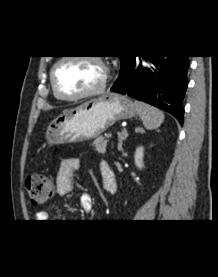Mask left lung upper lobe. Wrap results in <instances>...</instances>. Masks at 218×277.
I'll use <instances>...</instances> for the list:
<instances>
[{"mask_svg": "<svg viewBox=\"0 0 218 277\" xmlns=\"http://www.w3.org/2000/svg\"><path fill=\"white\" fill-rule=\"evenodd\" d=\"M121 59V70L127 65V63L131 60L133 56H119Z\"/></svg>", "mask_w": 218, "mask_h": 277, "instance_id": "5c2ea615", "label": "left lung upper lobe"}]
</instances>
